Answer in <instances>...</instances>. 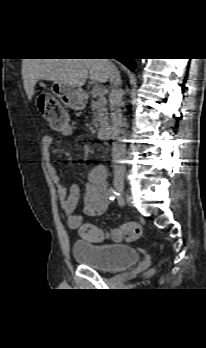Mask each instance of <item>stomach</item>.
<instances>
[{
  "instance_id": "obj_1",
  "label": "stomach",
  "mask_w": 206,
  "mask_h": 348,
  "mask_svg": "<svg viewBox=\"0 0 206 348\" xmlns=\"http://www.w3.org/2000/svg\"><path fill=\"white\" fill-rule=\"evenodd\" d=\"M51 91L65 106L71 109L82 110L86 105V94L81 87L54 82Z\"/></svg>"
}]
</instances>
